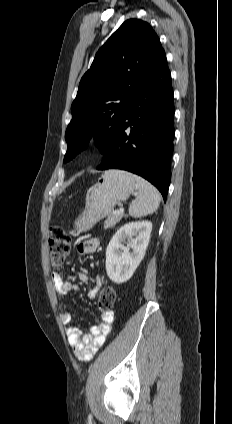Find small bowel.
Here are the masks:
<instances>
[{
  "label": "small bowel",
  "instance_id": "1",
  "mask_svg": "<svg viewBox=\"0 0 232 424\" xmlns=\"http://www.w3.org/2000/svg\"><path fill=\"white\" fill-rule=\"evenodd\" d=\"M99 246L97 238H88L81 241L76 251L79 255H87L94 253ZM77 279L81 283L89 282V275L85 272H78ZM52 284L61 297L68 296L71 292L77 291L78 287L73 285L65 276L60 273H53ZM102 287V281L99 277L95 278L94 285L88 290V297L96 298ZM60 319L65 326L68 343L72 348L75 356L81 361H89L96 354L99 348L104 344L106 336L111 331L114 322V312H103L101 322L95 324L89 333L83 334L77 327L72 325L73 314L65 308L60 310Z\"/></svg>",
  "mask_w": 232,
  "mask_h": 424
}]
</instances>
